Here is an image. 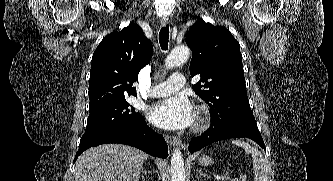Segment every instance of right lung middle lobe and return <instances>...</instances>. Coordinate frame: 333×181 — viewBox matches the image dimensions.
Instances as JSON below:
<instances>
[{
	"label": "right lung middle lobe",
	"mask_w": 333,
	"mask_h": 181,
	"mask_svg": "<svg viewBox=\"0 0 333 181\" xmlns=\"http://www.w3.org/2000/svg\"><path fill=\"white\" fill-rule=\"evenodd\" d=\"M90 114L83 136L95 135L111 130L126 128L142 119L126 99L89 108Z\"/></svg>",
	"instance_id": "1"
}]
</instances>
